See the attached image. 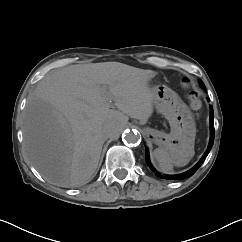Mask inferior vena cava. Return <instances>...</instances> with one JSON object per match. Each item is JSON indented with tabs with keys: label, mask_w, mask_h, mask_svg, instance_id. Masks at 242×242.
<instances>
[{
	"label": "inferior vena cava",
	"mask_w": 242,
	"mask_h": 242,
	"mask_svg": "<svg viewBox=\"0 0 242 242\" xmlns=\"http://www.w3.org/2000/svg\"><path fill=\"white\" fill-rule=\"evenodd\" d=\"M121 123L118 119L113 118L109 123L104 127L103 133L106 137H113L120 129Z\"/></svg>",
	"instance_id": "inferior-vena-cava-1"
}]
</instances>
